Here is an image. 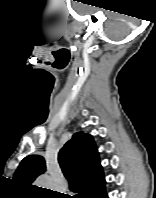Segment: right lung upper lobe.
Listing matches in <instances>:
<instances>
[{
  "instance_id": "obj_1",
  "label": "right lung upper lobe",
  "mask_w": 156,
  "mask_h": 198,
  "mask_svg": "<svg viewBox=\"0 0 156 198\" xmlns=\"http://www.w3.org/2000/svg\"><path fill=\"white\" fill-rule=\"evenodd\" d=\"M58 161L69 180L70 190L81 192L84 198H93L104 189L103 170L91 135L83 132L75 133L60 150ZM45 168L42 156H27L17 168L14 179L21 184L30 185L45 171Z\"/></svg>"
}]
</instances>
